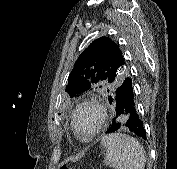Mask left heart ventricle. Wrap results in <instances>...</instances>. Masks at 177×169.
<instances>
[{
	"label": "left heart ventricle",
	"mask_w": 177,
	"mask_h": 169,
	"mask_svg": "<svg viewBox=\"0 0 177 169\" xmlns=\"http://www.w3.org/2000/svg\"><path fill=\"white\" fill-rule=\"evenodd\" d=\"M97 126V115L89 108L83 109L77 116V127L83 135H89Z\"/></svg>",
	"instance_id": "b2bd125f"
}]
</instances>
